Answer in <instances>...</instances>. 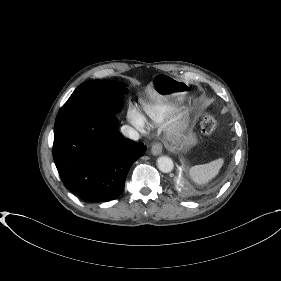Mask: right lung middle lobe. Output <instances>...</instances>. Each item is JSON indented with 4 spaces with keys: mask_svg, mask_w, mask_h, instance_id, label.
Here are the masks:
<instances>
[{
    "mask_svg": "<svg viewBox=\"0 0 281 281\" xmlns=\"http://www.w3.org/2000/svg\"><path fill=\"white\" fill-rule=\"evenodd\" d=\"M124 84L111 80H95L81 84L59 110L55 126L78 115H112L119 111Z\"/></svg>",
    "mask_w": 281,
    "mask_h": 281,
    "instance_id": "right-lung-middle-lobe-1",
    "label": "right lung middle lobe"
}]
</instances>
